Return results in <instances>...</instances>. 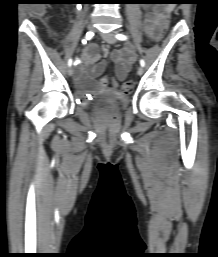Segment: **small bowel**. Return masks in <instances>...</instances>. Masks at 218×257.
<instances>
[{"mask_svg":"<svg viewBox=\"0 0 218 257\" xmlns=\"http://www.w3.org/2000/svg\"><path fill=\"white\" fill-rule=\"evenodd\" d=\"M171 8H147L146 14L142 23L143 30L152 39H154V31L158 30L157 25L163 24L166 21L168 13ZM107 50V48L105 49ZM100 49L96 43L87 44L81 53L79 59H77V71L76 80L79 85L84 83L93 90L94 92H101L99 87L96 86L97 74L103 73L106 68V63L100 61ZM111 59L115 63V73L119 81L125 80L128 72L130 71L131 65L134 61V53L130 46L122 50H116L111 53Z\"/></svg>","mask_w":218,"mask_h":257,"instance_id":"c3829d8e","label":"small bowel"}]
</instances>
